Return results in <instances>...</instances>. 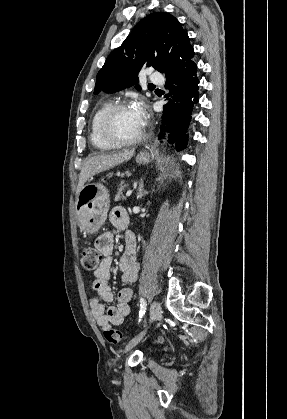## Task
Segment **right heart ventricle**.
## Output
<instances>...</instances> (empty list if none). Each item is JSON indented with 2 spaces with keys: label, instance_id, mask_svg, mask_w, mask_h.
Segmentation results:
<instances>
[{
  "label": "right heart ventricle",
  "instance_id": "right-heart-ventricle-1",
  "mask_svg": "<svg viewBox=\"0 0 287 419\" xmlns=\"http://www.w3.org/2000/svg\"><path fill=\"white\" fill-rule=\"evenodd\" d=\"M111 102L106 101L102 103L99 108L94 112L91 121H90V128H89V139L91 144L100 150H110L115 148L116 146L108 143L104 138L101 136L99 132V122L104 114V112L111 106Z\"/></svg>",
  "mask_w": 287,
  "mask_h": 419
}]
</instances>
